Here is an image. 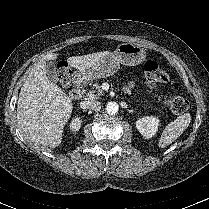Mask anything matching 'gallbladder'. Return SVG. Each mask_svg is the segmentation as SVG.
Instances as JSON below:
<instances>
[{
    "instance_id": "obj_1",
    "label": "gallbladder",
    "mask_w": 209,
    "mask_h": 209,
    "mask_svg": "<svg viewBox=\"0 0 209 209\" xmlns=\"http://www.w3.org/2000/svg\"><path fill=\"white\" fill-rule=\"evenodd\" d=\"M46 75L50 82L56 84L58 82V71L56 69L55 64L50 61L46 68Z\"/></svg>"
}]
</instances>
